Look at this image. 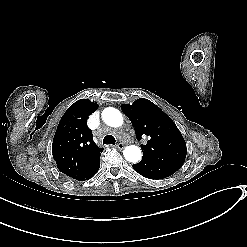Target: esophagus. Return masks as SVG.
I'll return each instance as SVG.
<instances>
[{
	"label": "esophagus",
	"mask_w": 247,
	"mask_h": 247,
	"mask_svg": "<svg viewBox=\"0 0 247 247\" xmlns=\"http://www.w3.org/2000/svg\"><path fill=\"white\" fill-rule=\"evenodd\" d=\"M116 147L119 148V149H123V148H124V145H123L122 143H118V144L116 145Z\"/></svg>",
	"instance_id": "obj_1"
}]
</instances>
